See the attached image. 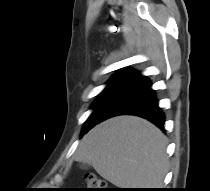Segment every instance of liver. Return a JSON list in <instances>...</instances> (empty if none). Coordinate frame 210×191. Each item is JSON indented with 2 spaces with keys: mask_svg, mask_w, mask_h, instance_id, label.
Listing matches in <instances>:
<instances>
[{
  "mask_svg": "<svg viewBox=\"0 0 210 191\" xmlns=\"http://www.w3.org/2000/svg\"><path fill=\"white\" fill-rule=\"evenodd\" d=\"M167 139L136 116H118L94 127L80 142L75 159L119 188H161L168 171Z\"/></svg>",
  "mask_w": 210,
  "mask_h": 191,
  "instance_id": "obj_1",
  "label": "liver"
}]
</instances>
